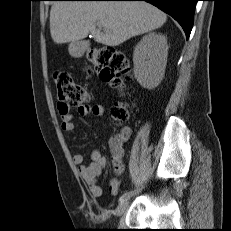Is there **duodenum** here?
I'll list each match as a JSON object with an SVG mask.
<instances>
[{
  "label": "duodenum",
  "mask_w": 231,
  "mask_h": 231,
  "mask_svg": "<svg viewBox=\"0 0 231 231\" xmlns=\"http://www.w3.org/2000/svg\"><path fill=\"white\" fill-rule=\"evenodd\" d=\"M85 46L83 45V46H81V49H83Z\"/></svg>",
  "instance_id": "obj_1"
}]
</instances>
